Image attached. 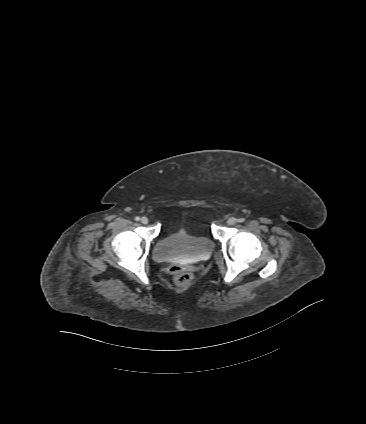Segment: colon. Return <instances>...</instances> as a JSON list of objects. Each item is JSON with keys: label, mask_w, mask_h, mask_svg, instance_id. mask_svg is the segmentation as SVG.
<instances>
[{"label": "colon", "mask_w": 366, "mask_h": 424, "mask_svg": "<svg viewBox=\"0 0 366 424\" xmlns=\"http://www.w3.org/2000/svg\"><path fill=\"white\" fill-rule=\"evenodd\" d=\"M171 272L174 275V279L177 285L186 286L191 281V273L181 266H174L171 268Z\"/></svg>", "instance_id": "1"}]
</instances>
